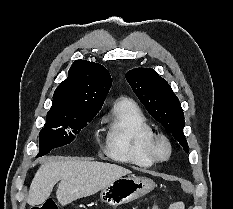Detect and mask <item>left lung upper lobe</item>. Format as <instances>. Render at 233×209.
<instances>
[{
	"instance_id": "1",
	"label": "left lung upper lobe",
	"mask_w": 233,
	"mask_h": 209,
	"mask_svg": "<svg viewBox=\"0 0 233 209\" xmlns=\"http://www.w3.org/2000/svg\"><path fill=\"white\" fill-rule=\"evenodd\" d=\"M126 79L151 116L168 129L188 153L183 109L168 82L148 68L132 69L126 73Z\"/></svg>"
}]
</instances>
